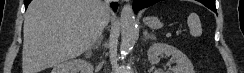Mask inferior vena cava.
I'll return each instance as SVG.
<instances>
[{
    "instance_id": "602c4592",
    "label": "inferior vena cava",
    "mask_w": 244,
    "mask_h": 73,
    "mask_svg": "<svg viewBox=\"0 0 244 73\" xmlns=\"http://www.w3.org/2000/svg\"><path fill=\"white\" fill-rule=\"evenodd\" d=\"M102 7L104 10V27L107 25L108 21H109V4L108 1L102 2Z\"/></svg>"
}]
</instances>
